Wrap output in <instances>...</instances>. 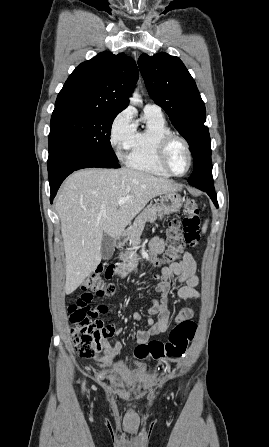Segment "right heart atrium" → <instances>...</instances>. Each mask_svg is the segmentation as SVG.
Wrapping results in <instances>:
<instances>
[{"mask_svg": "<svg viewBox=\"0 0 269 447\" xmlns=\"http://www.w3.org/2000/svg\"><path fill=\"white\" fill-rule=\"evenodd\" d=\"M134 132L133 114L126 108L113 118L109 128V142L119 159L130 150Z\"/></svg>", "mask_w": 269, "mask_h": 447, "instance_id": "obj_1", "label": "right heart atrium"}]
</instances>
